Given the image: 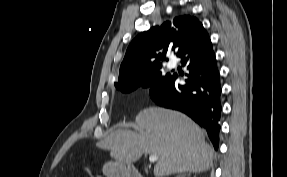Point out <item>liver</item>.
<instances>
[{"label":"liver","mask_w":287,"mask_h":177,"mask_svg":"<svg viewBox=\"0 0 287 177\" xmlns=\"http://www.w3.org/2000/svg\"><path fill=\"white\" fill-rule=\"evenodd\" d=\"M136 131L117 129L98 146L110 151L117 162L131 165L143 154H156V177L183 172L207 171L214 150L203 130L182 113L150 107L139 112Z\"/></svg>","instance_id":"liver-1"}]
</instances>
